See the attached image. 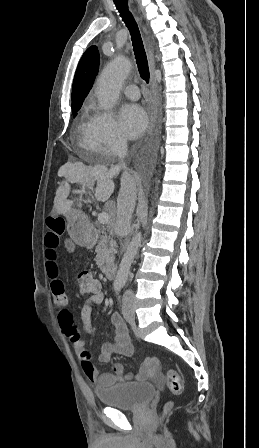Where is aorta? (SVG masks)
<instances>
[{
	"label": "aorta",
	"mask_w": 259,
	"mask_h": 448,
	"mask_svg": "<svg viewBox=\"0 0 259 448\" xmlns=\"http://www.w3.org/2000/svg\"><path fill=\"white\" fill-rule=\"evenodd\" d=\"M130 70V61L123 56H118L100 74L95 93L100 106L104 110H111L116 105L121 87ZM141 241L142 233L138 232L132 238L123 255L114 281L120 287H123L127 282L131 264Z\"/></svg>",
	"instance_id": "1"
}]
</instances>
